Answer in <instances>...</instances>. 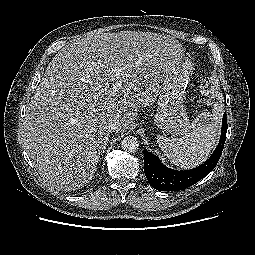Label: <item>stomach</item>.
Here are the masks:
<instances>
[{
    "label": "stomach",
    "instance_id": "0dacf381",
    "mask_svg": "<svg viewBox=\"0 0 255 255\" xmlns=\"http://www.w3.org/2000/svg\"><path fill=\"white\" fill-rule=\"evenodd\" d=\"M193 70L192 61L184 57L171 76L163 81L159 91L154 123L172 135H186L192 129L182 97Z\"/></svg>",
    "mask_w": 255,
    "mask_h": 255
}]
</instances>
